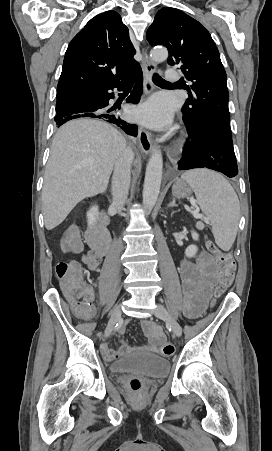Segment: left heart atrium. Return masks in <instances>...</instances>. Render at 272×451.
<instances>
[{"label": "left heart atrium", "mask_w": 272, "mask_h": 451, "mask_svg": "<svg viewBox=\"0 0 272 451\" xmlns=\"http://www.w3.org/2000/svg\"><path fill=\"white\" fill-rule=\"evenodd\" d=\"M131 114L151 126L165 127L171 120L172 109L165 99L155 97L144 107L133 110Z\"/></svg>", "instance_id": "obj_1"}]
</instances>
